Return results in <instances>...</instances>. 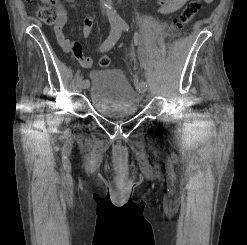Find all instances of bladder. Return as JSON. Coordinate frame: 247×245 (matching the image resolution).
I'll list each match as a JSON object with an SVG mask.
<instances>
[{
	"label": "bladder",
	"mask_w": 247,
	"mask_h": 245,
	"mask_svg": "<svg viewBox=\"0 0 247 245\" xmlns=\"http://www.w3.org/2000/svg\"><path fill=\"white\" fill-rule=\"evenodd\" d=\"M89 84V98L98 113L120 117L139 111L140 96L121 70H93Z\"/></svg>",
	"instance_id": "bladder-1"
}]
</instances>
